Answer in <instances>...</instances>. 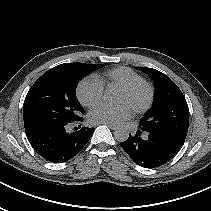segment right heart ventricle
<instances>
[{"label":"right heart ventricle","instance_id":"e07e8e85","mask_svg":"<svg viewBox=\"0 0 211 211\" xmlns=\"http://www.w3.org/2000/svg\"><path fill=\"white\" fill-rule=\"evenodd\" d=\"M96 77L103 85H116L120 88L144 80L140 74L124 66L109 69Z\"/></svg>","mask_w":211,"mask_h":211}]
</instances>
